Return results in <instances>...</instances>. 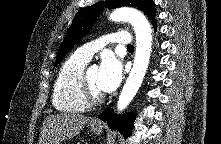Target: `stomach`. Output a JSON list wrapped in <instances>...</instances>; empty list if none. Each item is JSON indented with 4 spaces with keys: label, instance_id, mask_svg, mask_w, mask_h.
I'll use <instances>...</instances> for the list:
<instances>
[{
    "label": "stomach",
    "instance_id": "0dacf381",
    "mask_svg": "<svg viewBox=\"0 0 221 144\" xmlns=\"http://www.w3.org/2000/svg\"><path fill=\"white\" fill-rule=\"evenodd\" d=\"M89 128L93 133L98 135H100L103 132V126L101 124L98 125L90 124Z\"/></svg>",
    "mask_w": 221,
    "mask_h": 144
}]
</instances>
